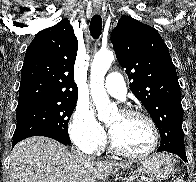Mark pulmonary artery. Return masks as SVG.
Returning a JSON list of instances; mask_svg holds the SVG:
<instances>
[{"label":"pulmonary artery","mask_w":196,"mask_h":182,"mask_svg":"<svg viewBox=\"0 0 196 182\" xmlns=\"http://www.w3.org/2000/svg\"><path fill=\"white\" fill-rule=\"evenodd\" d=\"M105 89L113 97L123 99L127 89L123 77L118 73H110L105 80Z\"/></svg>","instance_id":"pulmonary-artery-1"}]
</instances>
